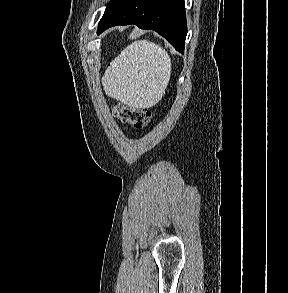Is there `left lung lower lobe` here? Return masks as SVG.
Returning a JSON list of instances; mask_svg holds the SVG:
<instances>
[{
	"label": "left lung lower lobe",
	"mask_w": 288,
	"mask_h": 293,
	"mask_svg": "<svg viewBox=\"0 0 288 293\" xmlns=\"http://www.w3.org/2000/svg\"><path fill=\"white\" fill-rule=\"evenodd\" d=\"M128 24L156 31L184 53L187 35L184 0H121L100 21L97 34L112 26Z\"/></svg>",
	"instance_id": "left-lung-lower-lobe-1"
}]
</instances>
